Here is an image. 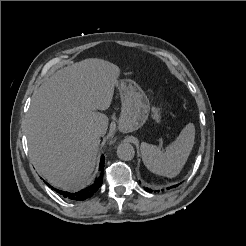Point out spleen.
I'll use <instances>...</instances> for the list:
<instances>
[{"instance_id": "spleen-1", "label": "spleen", "mask_w": 246, "mask_h": 246, "mask_svg": "<svg viewBox=\"0 0 246 246\" xmlns=\"http://www.w3.org/2000/svg\"><path fill=\"white\" fill-rule=\"evenodd\" d=\"M195 127L187 124L176 140L168 145L165 151L146 142L141 143V155L144 165L152 173L173 178L185 165L194 145Z\"/></svg>"}]
</instances>
